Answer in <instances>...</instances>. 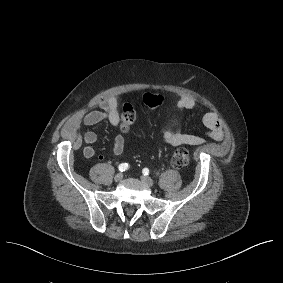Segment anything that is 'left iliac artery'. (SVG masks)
Masks as SVG:
<instances>
[{
    "mask_svg": "<svg viewBox=\"0 0 283 283\" xmlns=\"http://www.w3.org/2000/svg\"><path fill=\"white\" fill-rule=\"evenodd\" d=\"M142 172H143L144 175H148L149 174V169L148 168H144Z\"/></svg>",
    "mask_w": 283,
    "mask_h": 283,
    "instance_id": "44dca946",
    "label": "left iliac artery"
}]
</instances>
